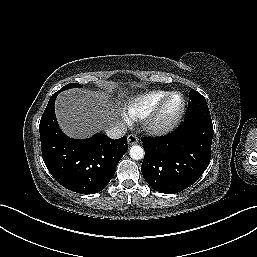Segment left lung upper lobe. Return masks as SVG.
I'll return each instance as SVG.
<instances>
[{
  "instance_id": "left-lung-upper-lobe-1",
  "label": "left lung upper lobe",
  "mask_w": 257,
  "mask_h": 257,
  "mask_svg": "<svg viewBox=\"0 0 257 257\" xmlns=\"http://www.w3.org/2000/svg\"><path fill=\"white\" fill-rule=\"evenodd\" d=\"M189 119L211 120L205 98L194 89L190 91L188 108L185 114V120Z\"/></svg>"
}]
</instances>
